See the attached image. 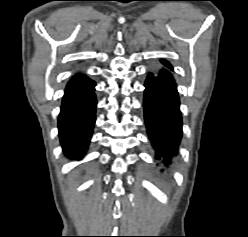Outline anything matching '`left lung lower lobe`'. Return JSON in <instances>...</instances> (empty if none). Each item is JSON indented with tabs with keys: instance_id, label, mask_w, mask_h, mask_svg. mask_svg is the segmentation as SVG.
Listing matches in <instances>:
<instances>
[{
	"instance_id": "0a47b994",
	"label": "left lung lower lobe",
	"mask_w": 248,
	"mask_h": 237,
	"mask_svg": "<svg viewBox=\"0 0 248 237\" xmlns=\"http://www.w3.org/2000/svg\"><path fill=\"white\" fill-rule=\"evenodd\" d=\"M171 69V68H170ZM144 114L149 137L158 146L157 158L169 164L182 134V119L176 85L163 69L157 77L149 74L145 82Z\"/></svg>"
}]
</instances>
